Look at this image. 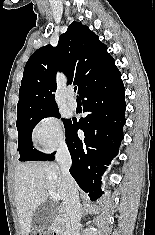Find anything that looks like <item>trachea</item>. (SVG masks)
<instances>
[{
  "instance_id": "obj_1",
  "label": "trachea",
  "mask_w": 155,
  "mask_h": 235,
  "mask_svg": "<svg viewBox=\"0 0 155 235\" xmlns=\"http://www.w3.org/2000/svg\"><path fill=\"white\" fill-rule=\"evenodd\" d=\"M76 90H77V87L75 86V87H74V91H76Z\"/></svg>"
}]
</instances>
